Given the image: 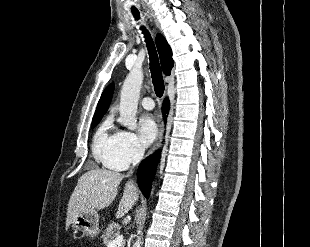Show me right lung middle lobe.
<instances>
[{
    "mask_svg": "<svg viewBox=\"0 0 310 247\" xmlns=\"http://www.w3.org/2000/svg\"><path fill=\"white\" fill-rule=\"evenodd\" d=\"M102 117H103V116H100V117H98V118L93 119L91 128H94V127L100 122V120H101Z\"/></svg>",
    "mask_w": 310,
    "mask_h": 247,
    "instance_id": "1",
    "label": "right lung middle lobe"
}]
</instances>
